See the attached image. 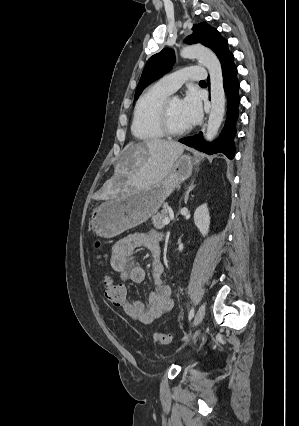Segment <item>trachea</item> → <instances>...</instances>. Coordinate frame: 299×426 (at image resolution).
<instances>
[{
	"label": "trachea",
	"mask_w": 299,
	"mask_h": 426,
	"mask_svg": "<svg viewBox=\"0 0 299 426\" xmlns=\"http://www.w3.org/2000/svg\"><path fill=\"white\" fill-rule=\"evenodd\" d=\"M200 83H205V81H200Z\"/></svg>",
	"instance_id": "obj_1"
}]
</instances>
